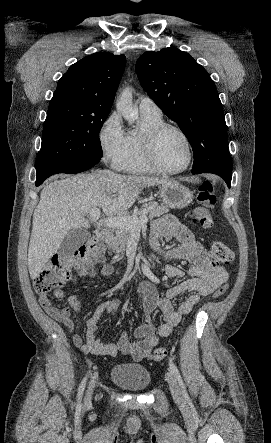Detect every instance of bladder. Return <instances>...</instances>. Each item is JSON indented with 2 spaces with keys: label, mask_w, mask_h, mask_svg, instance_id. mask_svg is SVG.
<instances>
[{
  "label": "bladder",
  "mask_w": 271,
  "mask_h": 443,
  "mask_svg": "<svg viewBox=\"0 0 271 443\" xmlns=\"http://www.w3.org/2000/svg\"><path fill=\"white\" fill-rule=\"evenodd\" d=\"M110 379L123 389L141 392L150 385L151 375L148 369L139 363H119L111 368Z\"/></svg>",
  "instance_id": "1"
}]
</instances>
